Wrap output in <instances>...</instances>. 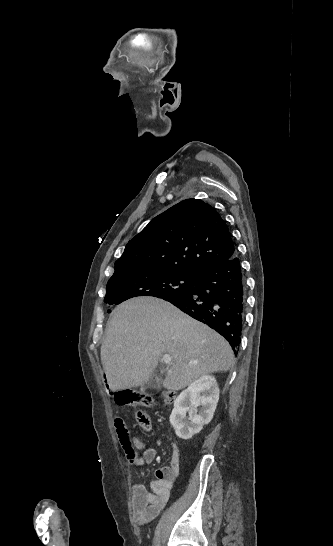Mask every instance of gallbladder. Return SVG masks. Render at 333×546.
<instances>
[{
  "mask_svg": "<svg viewBox=\"0 0 333 546\" xmlns=\"http://www.w3.org/2000/svg\"><path fill=\"white\" fill-rule=\"evenodd\" d=\"M161 387L157 377L151 376L147 382L141 386V392H153L159 390Z\"/></svg>",
  "mask_w": 333,
  "mask_h": 546,
  "instance_id": "obj_1",
  "label": "gallbladder"
}]
</instances>
